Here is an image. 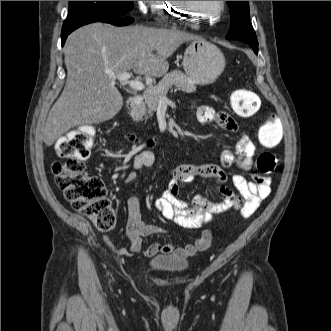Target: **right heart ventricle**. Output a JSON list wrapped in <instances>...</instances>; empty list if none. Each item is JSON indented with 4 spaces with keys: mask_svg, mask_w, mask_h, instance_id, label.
Returning <instances> with one entry per match:
<instances>
[{
    "mask_svg": "<svg viewBox=\"0 0 331 331\" xmlns=\"http://www.w3.org/2000/svg\"><path fill=\"white\" fill-rule=\"evenodd\" d=\"M174 1H157L154 11L157 13L159 20L168 21L170 14L175 12Z\"/></svg>",
    "mask_w": 331,
    "mask_h": 331,
    "instance_id": "obj_1",
    "label": "right heart ventricle"
}]
</instances>
